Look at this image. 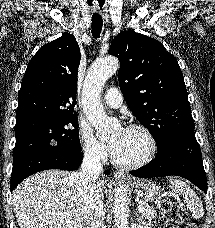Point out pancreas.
Listing matches in <instances>:
<instances>
[{
	"label": "pancreas",
	"instance_id": "pancreas-1",
	"mask_svg": "<svg viewBox=\"0 0 215 228\" xmlns=\"http://www.w3.org/2000/svg\"><path fill=\"white\" fill-rule=\"evenodd\" d=\"M144 222H153L156 220V210L154 208H146L145 212H140Z\"/></svg>",
	"mask_w": 215,
	"mask_h": 228
}]
</instances>
